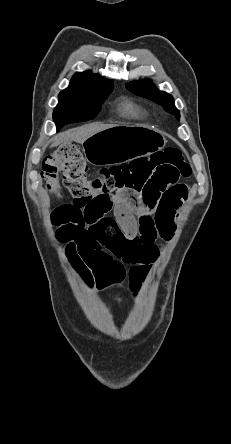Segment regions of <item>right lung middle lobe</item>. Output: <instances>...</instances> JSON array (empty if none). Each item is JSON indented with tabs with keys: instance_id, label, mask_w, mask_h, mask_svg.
Returning <instances> with one entry per match:
<instances>
[{
	"instance_id": "dd1d6c3e",
	"label": "right lung middle lobe",
	"mask_w": 231,
	"mask_h": 444,
	"mask_svg": "<svg viewBox=\"0 0 231 444\" xmlns=\"http://www.w3.org/2000/svg\"><path fill=\"white\" fill-rule=\"evenodd\" d=\"M112 89L96 93L60 92L59 103L53 112V120L57 130L62 128L64 124L93 119L99 112L101 103L108 97Z\"/></svg>"
}]
</instances>
